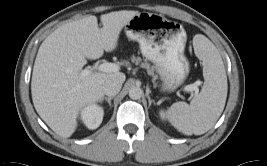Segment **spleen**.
<instances>
[{
    "instance_id": "obj_1",
    "label": "spleen",
    "mask_w": 267,
    "mask_h": 166,
    "mask_svg": "<svg viewBox=\"0 0 267 166\" xmlns=\"http://www.w3.org/2000/svg\"><path fill=\"white\" fill-rule=\"evenodd\" d=\"M193 44L197 57L204 63L203 88L190 104L181 101L172 104L167 118L185 135H202L214 126L223 112L228 85L223 60L214 44L202 35H197Z\"/></svg>"
}]
</instances>
